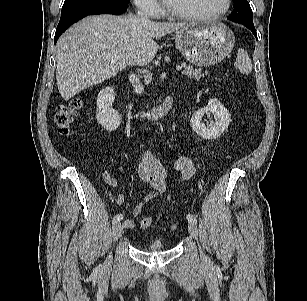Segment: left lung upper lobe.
Listing matches in <instances>:
<instances>
[{"instance_id":"1","label":"left lung upper lobe","mask_w":307,"mask_h":301,"mask_svg":"<svg viewBox=\"0 0 307 301\" xmlns=\"http://www.w3.org/2000/svg\"><path fill=\"white\" fill-rule=\"evenodd\" d=\"M234 9L228 19L242 24H253L252 10L247 0H233Z\"/></svg>"}]
</instances>
